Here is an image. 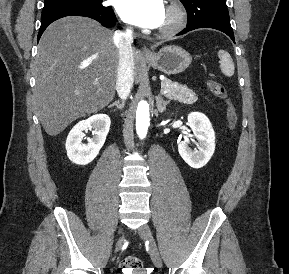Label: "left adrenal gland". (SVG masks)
<instances>
[{"instance_id":"a2214340","label":"left adrenal gland","mask_w":289,"mask_h":274,"mask_svg":"<svg viewBox=\"0 0 289 274\" xmlns=\"http://www.w3.org/2000/svg\"><path fill=\"white\" fill-rule=\"evenodd\" d=\"M169 103V101H165L160 95L156 98L157 109L160 113H163L166 110V106Z\"/></svg>"}]
</instances>
